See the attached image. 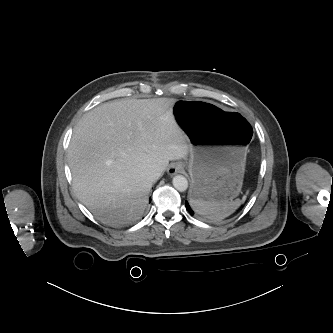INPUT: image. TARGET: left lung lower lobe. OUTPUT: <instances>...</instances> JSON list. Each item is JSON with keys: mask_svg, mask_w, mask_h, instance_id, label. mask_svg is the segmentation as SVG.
I'll return each mask as SVG.
<instances>
[{"mask_svg": "<svg viewBox=\"0 0 333 333\" xmlns=\"http://www.w3.org/2000/svg\"><path fill=\"white\" fill-rule=\"evenodd\" d=\"M186 208L188 210V212L191 214V215H194V212L192 211V209L190 208L188 202L186 201Z\"/></svg>", "mask_w": 333, "mask_h": 333, "instance_id": "0a47b994", "label": "left lung lower lobe"}]
</instances>
